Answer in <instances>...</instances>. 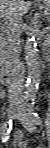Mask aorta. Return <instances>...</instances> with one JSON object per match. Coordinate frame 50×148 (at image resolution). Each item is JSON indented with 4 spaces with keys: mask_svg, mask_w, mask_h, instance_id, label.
<instances>
[{
    "mask_svg": "<svg viewBox=\"0 0 50 148\" xmlns=\"http://www.w3.org/2000/svg\"><path fill=\"white\" fill-rule=\"evenodd\" d=\"M25 60L28 76L24 99L25 101H31L36 96L40 79V62L34 37L27 39L25 45Z\"/></svg>",
    "mask_w": 50,
    "mask_h": 148,
    "instance_id": "762f6f07",
    "label": "aorta"
}]
</instances>
